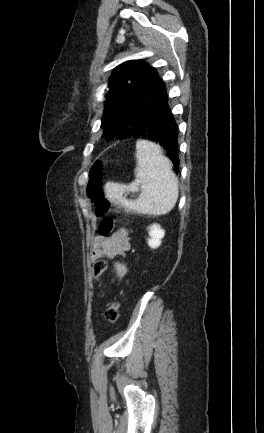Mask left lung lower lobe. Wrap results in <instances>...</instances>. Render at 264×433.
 Masks as SVG:
<instances>
[{
  "label": "left lung lower lobe",
  "instance_id": "left-lung-lower-lobe-1",
  "mask_svg": "<svg viewBox=\"0 0 264 433\" xmlns=\"http://www.w3.org/2000/svg\"><path fill=\"white\" fill-rule=\"evenodd\" d=\"M165 84L158 77L130 106L120 120L130 137L149 139L161 145L177 173L178 126L167 103Z\"/></svg>",
  "mask_w": 264,
  "mask_h": 433
}]
</instances>
